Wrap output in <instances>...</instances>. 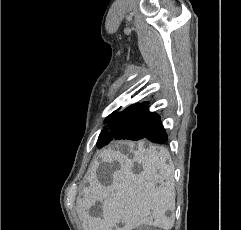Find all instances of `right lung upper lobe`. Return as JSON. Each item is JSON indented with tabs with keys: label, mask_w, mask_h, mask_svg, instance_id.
I'll return each mask as SVG.
<instances>
[{
	"label": "right lung upper lobe",
	"mask_w": 241,
	"mask_h": 230,
	"mask_svg": "<svg viewBox=\"0 0 241 230\" xmlns=\"http://www.w3.org/2000/svg\"><path fill=\"white\" fill-rule=\"evenodd\" d=\"M147 105L146 103H143L142 105L139 103H136L134 105H131L127 107L124 111H122V114H133V113H138L139 109L143 106Z\"/></svg>",
	"instance_id": "right-lung-upper-lobe-1"
}]
</instances>
